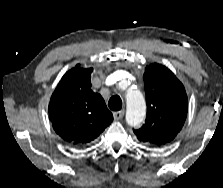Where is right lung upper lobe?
I'll return each mask as SVG.
<instances>
[{
	"label": "right lung upper lobe",
	"instance_id": "right-lung-upper-lobe-1",
	"mask_svg": "<svg viewBox=\"0 0 223 188\" xmlns=\"http://www.w3.org/2000/svg\"><path fill=\"white\" fill-rule=\"evenodd\" d=\"M92 70L83 69L80 64L69 70L49 103V117L55 132L76 147L90 144L113 121L101 95L91 90Z\"/></svg>",
	"mask_w": 223,
	"mask_h": 188
}]
</instances>
